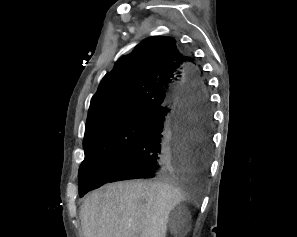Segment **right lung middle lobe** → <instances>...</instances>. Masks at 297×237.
Returning a JSON list of instances; mask_svg holds the SVG:
<instances>
[{
	"mask_svg": "<svg viewBox=\"0 0 297 237\" xmlns=\"http://www.w3.org/2000/svg\"><path fill=\"white\" fill-rule=\"evenodd\" d=\"M149 111L103 119L85 129V159L79 168V195L100 187L103 179L129 150L151 116Z\"/></svg>",
	"mask_w": 297,
	"mask_h": 237,
	"instance_id": "obj_1",
	"label": "right lung middle lobe"
}]
</instances>
